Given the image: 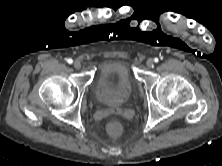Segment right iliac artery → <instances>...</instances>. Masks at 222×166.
<instances>
[{
  "label": "right iliac artery",
  "instance_id": "1",
  "mask_svg": "<svg viewBox=\"0 0 222 166\" xmlns=\"http://www.w3.org/2000/svg\"><path fill=\"white\" fill-rule=\"evenodd\" d=\"M67 62H68L69 64H72V63H73V60H72L71 58H69V59L67 60Z\"/></svg>",
  "mask_w": 222,
  "mask_h": 166
}]
</instances>
